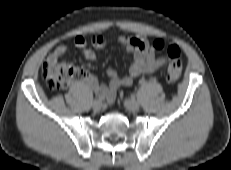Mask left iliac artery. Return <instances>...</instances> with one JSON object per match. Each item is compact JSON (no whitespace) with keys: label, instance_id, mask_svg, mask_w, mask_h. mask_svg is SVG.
<instances>
[{"label":"left iliac artery","instance_id":"left-iliac-artery-1","mask_svg":"<svg viewBox=\"0 0 231 170\" xmlns=\"http://www.w3.org/2000/svg\"><path fill=\"white\" fill-rule=\"evenodd\" d=\"M140 84H141V85H144V84H145V81H144V80H140Z\"/></svg>","mask_w":231,"mask_h":170}]
</instances>
